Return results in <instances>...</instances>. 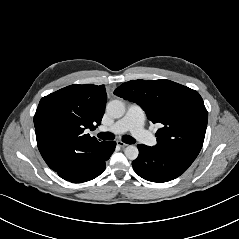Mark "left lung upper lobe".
Returning <instances> with one entry per match:
<instances>
[{
	"label": "left lung upper lobe",
	"mask_w": 239,
	"mask_h": 239,
	"mask_svg": "<svg viewBox=\"0 0 239 239\" xmlns=\"http://www.w3.org/2000/svg\"><path fill=\"white\" fill-rule=\"evenodd\" d=\"M114 94L137 103L153 123H161L155 147L193 162L199 154L208 112L199 93L169 80H132Z\"/></svg>",
	"instance_id": "left-lung-upper-lobe-1"
}]
</instances>
